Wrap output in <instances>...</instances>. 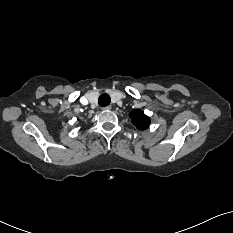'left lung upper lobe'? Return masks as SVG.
<instances>
[{"label":"left lung upper lobe","instance_id":"obj_1","mask_svg":"<svg viewBox=\"0 0 233 233\" xmlns=\"http://www.w3.org/2000/svg\"><path fill=\"white\" fill-rule=\"evenodd\" d=\"M130 118L134 125L139 129H146L149 126L150 119L140 110H134L130 113Z\"/></svg>","mask_w":233,"mask_h":233}]
</instances>
